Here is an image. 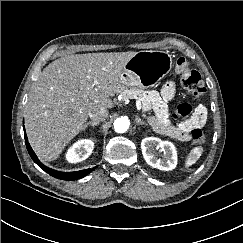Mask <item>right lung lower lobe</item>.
Listing matches in <instances>:
<instances>
[{
  "mask_svg": "<svg viewBox=\"0 0 243 243\" xmlns=\"http://www.w3.org/2000/svg\"><path fill=\"white\" fill-rule=\"evenodd\" d=\"M24 135H25L26 147H27V150H28L32 160L39 167H41L45 172H47L49 175H51L55 178L62 179V180H76V179L86 176L87 174H89L96 168V167H94L92 169H86V170H81V171H76V172H59V171L53 170L51 168H48L38 160L37 156L35 155L34 151L31 148L30 144L28 143L26 133H24Z\"/></svg>",
  "mask_w": 243,
  "mask_h": 243,
  "instance_id": "right-lung-lower-lobe-1",
  "label": "right lung lower lobe"
}]
</instances>
